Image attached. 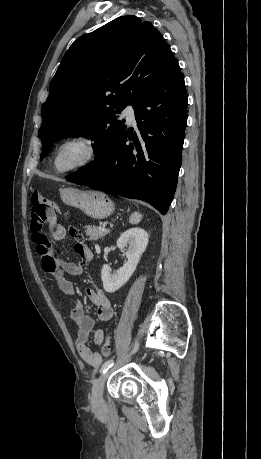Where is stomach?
<instances>
[{
	"instance_id": "stomach-1",
	"label": "stomach",
	"mask_w": 261,
	"mask_h": 459,
	"mask_svg": "<svg viewBox=\"0 0 261 459\" xmlns=\"http://www.w3.org/2000/svg\"><path fill=\"white\" fill-rule=\"evenodd\" d=\"M60 197L66 205L78 208L94 219H104L114 211L112 200L100 191L65 188L60 190Z\"/></svg>"
}]
</instances>
